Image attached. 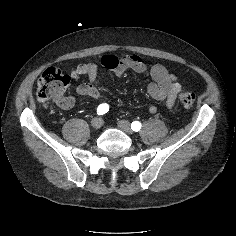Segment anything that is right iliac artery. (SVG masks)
Returning <instances> with one entry per match:
<instances>
[{
    "label": "right iliac artery",
    "mask_w": 236,
    "mask_h": 236,
    "mask_svg": "<svg viewBox=\"0 0 236 236\" xmlns=\"http://www.w3.org/2000/svg\"><path fill=\"white\" fill-rule=\"evenodd\" d=\"M108 111H109V106L106 103L99 105L97 108V114L100 116L107 113Z\"/></svg>",
    "instance_id": "1"
}]
</instances>
